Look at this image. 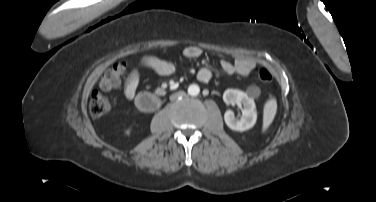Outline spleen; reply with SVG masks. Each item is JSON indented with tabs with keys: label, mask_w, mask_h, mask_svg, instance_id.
<instances>
[{
	"label": "spleen",
	"mask_w": 376,
	"mask_h": 202,
	"mask_svg": "<svg viewBox=\"0 0 376 202\" xmlns=\"http://www.w3.org/2000/svg\"><path fill=\"white\" fill-rule=\"evenodd\" d=\"M276 110H277V103L275 99H271L265 104L264 115H263V129L264 130L267 129L268 126L273 121L274 116L276 114Z\"/></svg>",
	"instance_id": "3e777b00"
}]
</instances>
